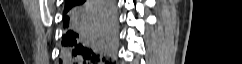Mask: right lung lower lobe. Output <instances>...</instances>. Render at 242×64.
I'll return each instance as SVG.
<instances>
[{
  "label": "right lung lower lobe",
  "instance_id": "1",
  "mask_svg": "<svg viewBox=\"0 0 242 64\" xmlns=\"http://www.w3.org/2000/svg\"><path fill=\"white\" fill-rule=\"evenodd\" d=\"M60 64H109L117 38L115 0H66Z\"/></svg>",
  "mask_w": 242,
  "mask_h": 64
}]
</instances>
